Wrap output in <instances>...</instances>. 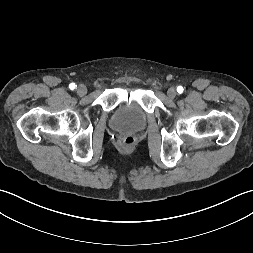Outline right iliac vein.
<instances>
[{
    "label": "right iliac vein",
    "mask_w": 253,
    "mask_h": 253,
    "mask_svg": "<svg viewBox=\"0 0 253 253\" xmlns=\"http://www.w3.org/2000/svg\"><path fill=\"white\" fill-rule=\"evenodd\" d=\"M87 93V88L85 85L83 84H80L78 87H77V94L79 96H84L85 94Z\"/></svg>",
    "instance_id": "right-iliac-vein-1"
}]
</instances>
